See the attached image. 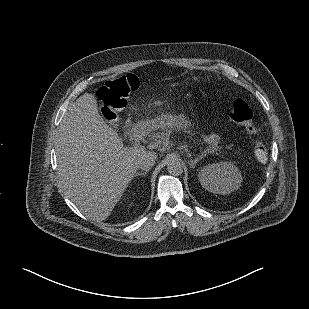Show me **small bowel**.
Wrapping results in <instances>:
<instances>
[{
	"label": "small bowel",
	"mask_w": 309,
	"mask_h": 309,
	"mask_svg": "<svg viewBox=\"0 0 309 309\" xmlns=\"http://www.w3.org/2000/svg\"><path fill=\"white\" fill-rule=\"evenodd\" d=\"M204 141L210 145H215L219 141V136L217 134H208L204 137Z\"/></svg>",
	"instance_id": "small-bowel-1"
}]
</instances>
